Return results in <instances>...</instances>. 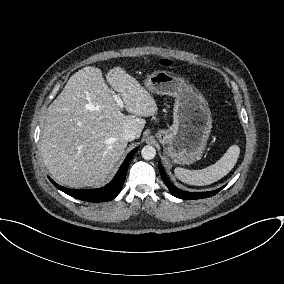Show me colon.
Segmentation results:
<instances>
[{
    "instance_id": "obj_1",
    "label": "colon",
    "mask_w": 284,
    "mask_h": 284,
    "mask_svg": "<svg viewBox=\"0 0 284 284\" xmlns=\"http://www.w3.org/2000/svg\"><path fill=\"white\" fill-rule=\"evenodd\" d=\"M163 64H164V65H170V62H169V61H164Z\"/></svg>"
}]
</instances>
